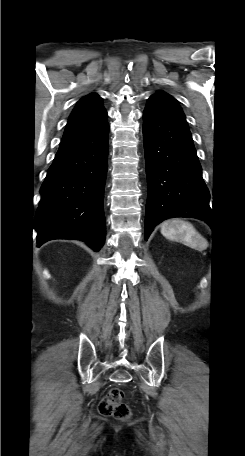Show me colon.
Listing matches in <instances>:
<instances>
[{
    "label": "colon",
    "mask_w": 245,
    "mask_h": 456,
    "mask_svg": "<svg viewBox=\"0 0 245 456\" xmlns=\"http://www.w3.org/2000/svg\"><path fill=\"white\" fill-rule=\"evenodd\" d=\"M98 410L104 416L125 420L130 417V408L124 403V392L119 388H111L100 401Z\"/></svg>",
    "instance_id": "5ec220e1"
}]
</instances>
